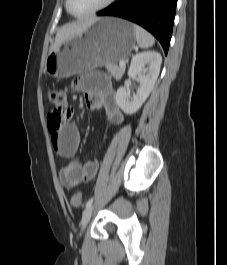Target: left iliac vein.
Wrapping results in <instances>:
<instances>
[{
  "mask_svg": "<svg viewBox=\"0 0 227 265\" xmlns=\"http://www.w3.org/2000/svg\"><path fill=\"white\" fill-rule=\"evenodd\" d=\"M93 212V205H90L88 208L85 209L82 215L81 220V229L84 231L86 225L88 224Z\"/></svg>",
  "mask_w": 227,
  "mask_h": 265,
  "instance_id": "left-iliac-vein-1",
  "label": "left iliac vein"
}]
</instances>
